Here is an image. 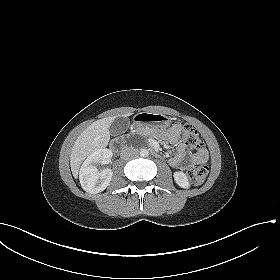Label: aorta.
<instances>
[{"label": "aorta", "mask_w": 280, "mask_h": 280, "mask_svg": "<svg viewBox=\"0 0 280 280\" xmlns=\"http://www.w3.org/2000/svg\"><path fill=\"white\" fill-rule=\"evenodd\" d=\"M149 155V151L147 149L140 150V156L147 157Z\"/></svg>", "instance_id": "1"}]
</instances>
